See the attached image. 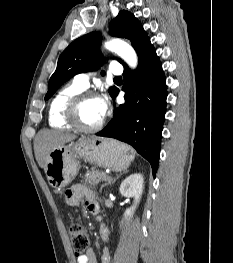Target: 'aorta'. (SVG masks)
Wrapping results in <instances>:
<instances>
[{"label": "aorta", "instance_id": "obj_1", "mask_svg": "<svg viewBox=\"0 0 233 263\" xmlns=\"http://www.w3.org/2000/svg\"><path fill=\"white\" fill-rule=\"evenodd\" d=\"M105 47L106 49L117 53L131 67H136L137 65L136 52L126 42L119 39H113L105 43Z\"/></svg>", "mask_w": 233, "mask_h": 263}]
</instances>
